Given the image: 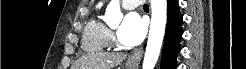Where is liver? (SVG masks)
I'll list each match as a JSON object with an SVG mask.
<instances>
[{
    "instance_id": "1",
    "label": "liver",
    "mask_w": 246,
    "mask_h": 69,
    "mask_svg": "<svg viewBox=\"0 0 246 69\" xmlns=\"http://www.w3.org/2000/svg\"><path fill=\"white\" fill-rule=\"evenodd\" d=\"M126 58L123 53H97L80 57L74 69H112Z\"/></svg>"
}]
</instances>
